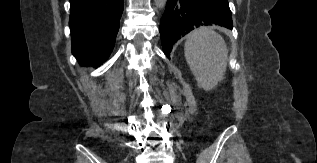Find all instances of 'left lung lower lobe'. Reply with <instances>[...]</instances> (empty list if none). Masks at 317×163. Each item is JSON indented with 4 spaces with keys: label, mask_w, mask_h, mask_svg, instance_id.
Returning <instances> with one entry per match:
<instances>
[{
    "label": "left lung lower lobe",
    "mask_w": 317,
    "mask_h": 163,
    "mask_svg": "<svg viewBox=\"0 0 317 163\" xmlns=\"http://www.w3.org/2000/svg\"><path fill=\"white\" fill-rule=\"evenodd\" d=\"M218 24L232 29L228 0H167L160 23L164 53L170 59L173 44L196 27Z\"/></svg>",
    "instance_id": "left-lung-lower-lobe-1"
}]
</instances>
